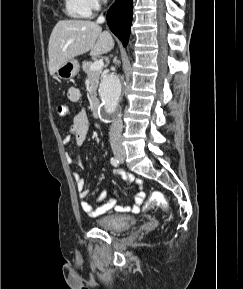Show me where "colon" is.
Masks as SVG:
<instances>
[{"instance_id":"5ec220e1","label":"colon","mask_w":243,"mask_h":289,"mask_svg":"<svg viewBox=\"0 0 243 289\" xmlns=\"http://www.w3.org/2000/svg\"><path fill=\"white\" fill-rule=\"evenodd\" d=\"M55 110L60 117H64L68 114V108L64 104H57ZM154 207H160L163 210L168 209V202L161 192L154 191L153 193H151L150 197L144 203L142 209L144 211H148Z\"/></svg>"}]
</instances>
